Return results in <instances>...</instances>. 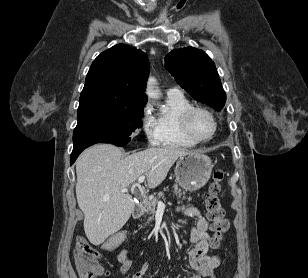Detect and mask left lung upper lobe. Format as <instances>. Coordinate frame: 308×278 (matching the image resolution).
<instances>
[{"label":"left lung upper lobe","instance_id":"left-lung-upper-lobe-1","mask_svg":"<svg viewBox=\"0 0 308 278\" xmlns=\"http://www.w3.org/2000/svg\"><path fill=\"white\" fill-rule=\"evenodd\" d=\"M165 67L176 82L197 101L220 111L225 105L223 90L215 64L201 49H175L165 57Z\"/></svg>","mask_w":308,"mask_h":278}]
</instances>
